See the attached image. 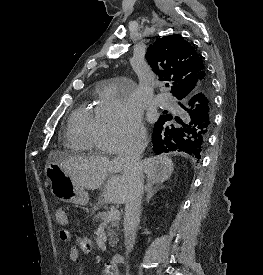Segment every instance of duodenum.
Listing matches in <instances>:
<instances>
[{"label":"duodenum","instance_id":"duodenum-1","mask_svg":"<svg viewBox=\"0 0 263 275\" xmlns=\"http://www.w3.org/2000/svg\"><path fill=\"white\" fill-rule=\"evenodd\" d=\"M124 261V256L120 253H116L112 256L111 260L106 263V266L110 270H116L117 266Z\"/></svg>","mask_w":263,"mask_h":275}]
</instances>
